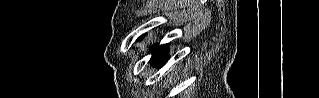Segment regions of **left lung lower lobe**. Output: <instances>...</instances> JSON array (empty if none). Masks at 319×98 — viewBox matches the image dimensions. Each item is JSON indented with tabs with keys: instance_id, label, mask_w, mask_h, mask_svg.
I'll return each instance as SVG.
<instances>
[{
	"instance_id": "left-lung-lower-lobe-1",
	"label": "left lung lower lobe",
	"mask_w": 319,
	"mask_h": 98,
	"mask_svg": "<svg viewBox=\"0 0 319 98\" xmlns=\"http://www.w3.org/2000/svg\"><path fill=\"white\" fill-rule=\"evenodd\" d=\"M168 49V44L162 45L160 47L152 48L151 51L153 53L151 58V63L155 66H163L166 60V50Z\"/></svg>"
}]
</instances>
